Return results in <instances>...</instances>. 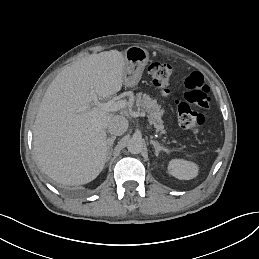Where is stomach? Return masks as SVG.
Wrapping results in <instances>:
<instances>
[{
  "label": "stomach",
  "instance_id": "obj_1",
  "mask_svg": "<svg viewBox=\"0 0 259 259\" xmlns=\"http://www.w3.org/2000/svg\"><path fill=\"white\" fill-rule=\"evenodd\" d=\"M125 57L128 62L123 68L122 83L127 88H136L140 85L143 67L149 60V52L140 46H130L125 51Z\"/></svg>",
  "mask_w": 259,
  "mask_h": 259
}]
</instances>
